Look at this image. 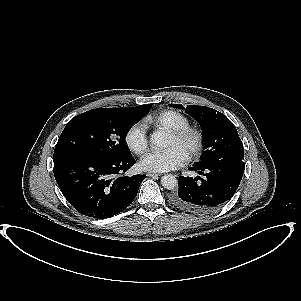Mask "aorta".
<instances>
[{
  "label": "aorta",
  "instance_id": "1",
  "mask_svg": "<svg viewBox=\"0 0 301 301\" xmlns=\"http://www.w3.org/2000/svg\"><path fill=\"white\" fill-rule=\"evenodd\" d=\"M150 141H151L152 146H155V147H167L168 146L167 136L165 135L164 132H161V131L154 132L151 136ZM160 181H161V185L163 186V188H165L167 190H174L177 188V185H178L176 177L172 174L164 175Z\"/></svg>",
  "mask_w": 301,
  "mask_h": 301
}]
</instances>
